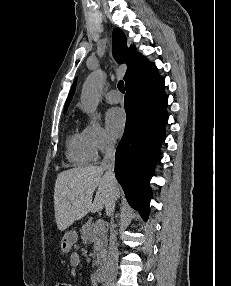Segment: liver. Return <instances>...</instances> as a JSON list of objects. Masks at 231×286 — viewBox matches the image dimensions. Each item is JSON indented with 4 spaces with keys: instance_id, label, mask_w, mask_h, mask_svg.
I'll use <instances>...</instances> for the list:
<instances>
[{
    "instance_id": "obj_1",
    "label": "liver",
    "mask_w": 231,
    "mask_h": 286,
    "mask_svg": "<svg viewBox=\"0 0 231 286\" xmlns=\"http://www.w3.org/2000/svg\"><path fill=\"white\" fill-rule=\"evenodd\" d=\"M119 196L118 184L111 185L100 166L78 167L59 173L54 188L58 229L64 231L90 211L98 212L107 205L114 206Z\"/></svg>"
}]
</instances>
